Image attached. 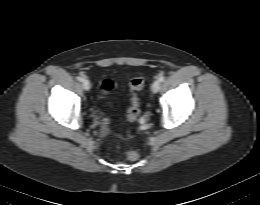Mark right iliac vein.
Segmentation results:
<instances>
[{
	"mask_svg": "<svg viewBox=\"0 0 260 205\" xmlns=\"http://www.w3.org/2000/svg\"><path fill=\"white\" fill-rule=\"evenodd\" d=\"M82 86H83L84 90L89 91L90 88H91L90 81L87 80V79H84V80L82 81Z\"/></svg>",
	"mask_w": 260,
	"mask_h": 205,
	"instance_id": "right-iliac-vein-1",
	"label": "right iliac vein"
}]
</instances>
